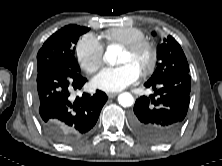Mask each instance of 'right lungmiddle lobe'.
I'll use <instances>...</instances> for the list:
<instances>
[{
  "label": "right lung middle lobe",
  "instance_id": "right-lung-middle-lobe-1",
  "mask_svg": "<svg viewBox=\"0 0 222 166\" xmlns=\"http://www.w3.org/2000/svg\"><path fill=\"white\" fill-rule=\"evenodd\" d=\"M89 28L67 25L50 36L37 54V72L54 66H63L78 71L74 45Z\"/></svg>",
  "mask_w": 222,
  "mask_h": 166
}]
</instances>
